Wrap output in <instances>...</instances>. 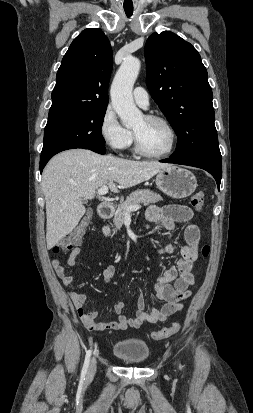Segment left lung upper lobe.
<instances>
[{"label":"left lung upper lobe","mask_w":253,"mask_h":413,"mask_svg":"<svg viewBox=\"0 0 253 413\" xmlns=\"http://www.w3.org/2000/svg\"><path fill=\"white\" fill-rule=\"evenodd\" d=\"M146 84L178 136L172 157H221L212 90L197 50L170 31L146 41Z\"/></svg>","instance_id":"1"}]
</instances>
